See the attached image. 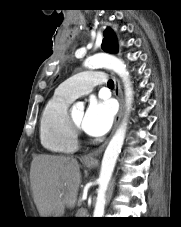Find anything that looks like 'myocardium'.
<instances>
[{
    "label": "myocardium",
    "instance_id": "1",
    "mask_svg": "<svg viewBox=\"0 0 181 227\" xmlns=\"http://www.w3.org/2000/svg\"><path fill=\"white\" fill-rule=\"evenodd\" d=\"M68 122L73 133L77 136L80 133L81 129L80 126L77 123H75L70 113H68Z\"/></svg>",
    "mask_w": 181,
    "mask_h": 227
}]
</instances>
